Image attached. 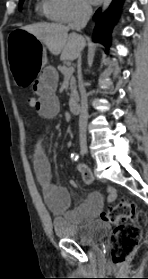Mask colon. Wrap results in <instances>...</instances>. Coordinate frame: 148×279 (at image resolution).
Here are the masks:
<instances>
[{
	"label": "colon",
	"mask_w": 148,
	"mask_h": 279,
	"mask_svg": "<svg viewBox=\"0 0 148 279\" xmlns=\"http://www.w3.org/2000/svg\"><path fill=\"white\" fill-rule=\"evenodd\" d=\"M27 104L30 108L36 109L37 97L30 96ZM102 219L115 225L110 237V252L113 263L119 265L138 247L142 236L141 226L147 221V216L136 210L133 201L123 199L105 212Z\"/></svg>",
	"instance_id": "1"
}]
</instances>
